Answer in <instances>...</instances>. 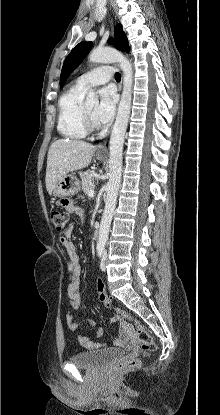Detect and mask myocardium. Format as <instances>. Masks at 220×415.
Instances as JSON below:
<instances>
[{
    "label": "myocardium",
    "instance_id": "obj_1",
    "mask_svg": "<svg viewBox=\"0 0 220 415\" xmlns=\"http://www.w3.org/2000/svg\"><path fill=\"white\" fill-rule=\"evenodd\" d=\"M81 116H82V123L85 131L87 133H93L97 130V124L90 118L88 113L86 112L85 106H82L81 109Z\"/></svg>",
    "mask_w": 220,
    "mask_h": 415
}]
</instances>
